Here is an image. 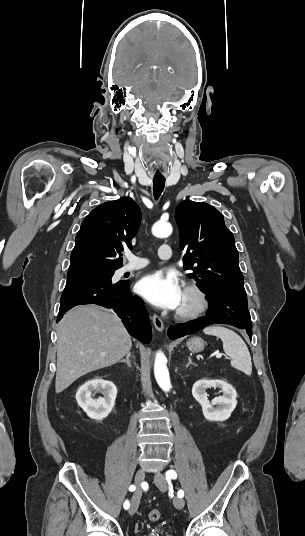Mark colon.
<instances>
[{
  "instance_id": "obj_1",
  "label": "colon",
  "mask_w": 305,
  "mask_h": 536,
  "mask_svg": "<svg viewBox=\"0 0 305 536\" xmlns=\"http://www.w3.org/2000/svg\"><path fill=\"white\" fill-rule=\"evenodd\" d=\"M161 517V511L159 509H153L149 512L148 518L152 521H157Z\"/></svg>"
}]
</instances>
